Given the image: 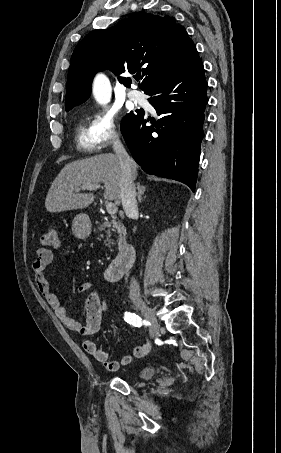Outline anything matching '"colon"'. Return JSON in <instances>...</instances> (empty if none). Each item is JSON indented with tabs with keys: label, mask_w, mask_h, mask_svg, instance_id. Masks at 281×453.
Listing matches in <instances>:
<instances>
[{
	"label": "colon",
	"mask_w": 281,
	"mask_h": 453,
	"mask_svg": "<svg viewBox=\"0 0 281 453\" xmlns=\"http://www.w3.org/2000/svg\"><path fill=\"white\" fill-rule=\"evenodd\" d=\"M59 226H49L41 236L40 245H45L47 251H54L58 248Z\"/></svg>",
	"instance_id": "5ec220e1"
}]
</instances>
